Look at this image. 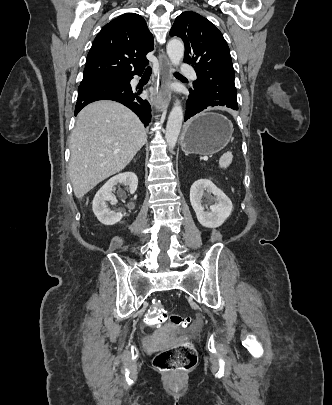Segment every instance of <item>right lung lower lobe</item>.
I'll use <instances>...</instances> for the list:
<instances>
[{
	"instance_id": "right-lung-lower-lobe-1",
	"label": "right lung lower lobe",
	"mask_w": 332,
	"mask_h": 405,
	"mask_svg": "<svg viewBox=\"0 0 332 405\" xmlns=\"http://www.w3.org/2000/svg\"><path fill=\"white\" fill-rule=\"evenodd\" d=\"M143 71L122 76L119 79H96L81 83L78 88V100L75 115L87 104L97 100L118 101L137 114L145 126L150 122V104L139 95L141 87L132 88L130 81L134 75H141Z\"/></svg>"
}]
</instances>
